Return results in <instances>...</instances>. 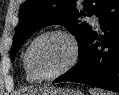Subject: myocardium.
<instances>
[{
	"mask_svg": "<svg viewBox=\"0 0 119 95\" xmlns=\"http://www.w3.org/2000/svg\"><path fill=\"white\" fill-rule=\"evenodd\" d=\"M54 35L63 36L70 42L71 48H72L71 57H70L69 61L67 62V64L63 68H61L59 71H57L56 73L51 74V75L43 76V75L38 74L34 70L32 63H31V53H32L34 46L36 45V43L38 41H40L41 39H43L45 37L54 36ZM79 52H80L79 43H78L76 37L72 33L68 32L66 30H63V29L49 30V31L41 33L40 35H38L37 37H35L32 40V42L30 43V45L28 46V48L25 52V63H26V67H27L29 73L35 79L41 80V81H50V80H54V79L62 76L63 74L68 72L70 69H72L78 61Z\"/></svg>",
	"mask_w": 119,
	"mask_h": 95,
	"instance_id": "f54148a6",
	"label": "myocardium"
}]
</instances>
